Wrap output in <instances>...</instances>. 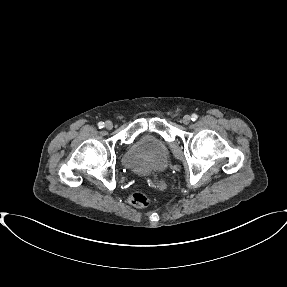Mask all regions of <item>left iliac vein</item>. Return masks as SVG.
Listing matches in <instances>:
<instances>
[{"label":"left iliac vein","mask_w":287,"mask_h":287,"mask_svg":"<svg viewBox=\"0 0 287 287\" xmlns=\"http://www.w3.org/2000/svg\"><path fill=\"white\" fill-rule=\"evenodd\" d=\"M190 122H191V117H190L189 115H185V116L183 117V123H184L185 125H188Z\"/></svg>","instance_id":"4c4485c4"}]
</instances>
